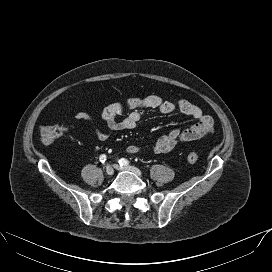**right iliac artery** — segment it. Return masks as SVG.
Returning <instances> with one entry per match:
<instances>
[{
  "instance_id": "obj_1",
  "label": "right iliac artery",
  "mask_w": 272,
  "mask_h": 272,
  "mask_svg": "<svg viewBox=\"0 0 272 272\" xmlns=\"http://www.w3.org/2000/svg\"><path fill=\"white\" fill-rule=\"evenodd\" d=\"M99 160L101 163H104L106 161V155L105 154L100 155Z\"/></svg>"
}]
</instances>
